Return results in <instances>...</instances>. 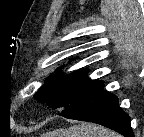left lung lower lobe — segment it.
Wrapping results in <instances>:
<instances>
[{
  "instance_id": "left-lung-lower-lobe-1",
  "label": "left lung lower lobe",
  "mask_w": 144,
  "mask_h": 137,
  "mask_svg": "<svg viewBox=\"0 0 144 137\" xmlns=\"http://www.w3.org/2000/svg\"><path fill=\"white\" fill-rule=\"evenodd\" d=\"M103 82L86 90L59 115L80 121H88L108 127L125 137H134L129 116L119 108L118 98L103 89Z\"/></svg>"
}]
</instances>
